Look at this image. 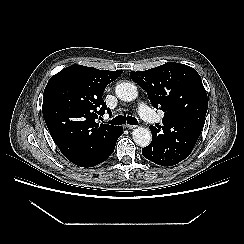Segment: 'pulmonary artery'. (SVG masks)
<instances>
[{
	"label": "pulmonary artery",
	"mask_w": 244,
	"mask_h": 244,
	"mask_svg": "<svg viewBox=\"0 0 244 244\" xmlns=\"http://www.w3.org/2000/svg\"><path fill=\"white\" fill-rule=\"evenodd\" d=\"M138 112L140 116L147 122H155L158 120L157 116L144 103L139 104Z\"/></svg>",
	"instance_id": "pulmonary-artery-1"
}]
</instances>
